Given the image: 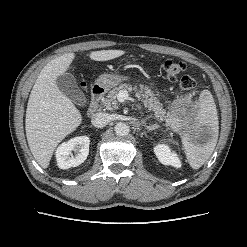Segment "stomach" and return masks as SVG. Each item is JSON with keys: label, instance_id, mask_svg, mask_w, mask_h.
Segmentation results:
<instances>
[{"label": "stomach", "instance_id": "obj_1", "mask_svg": "<svg viewBox=\"0 0 247 247\" xmlns=\"http://www.w3.org/2000/svg\"><path fill=\"white\" fill-rule=\"evenodd\" d=\"M124 80V77L117 74H102L96 80V84L105 88L110 89L115 87L120 82ZM194 119H190L188 117H180L175 113H171L169 115L168 124L175 130L179 131L183 136L187 133H191Z\"/></svg>", "mask_w": 247, "mask_h": 247}]
</instances>
